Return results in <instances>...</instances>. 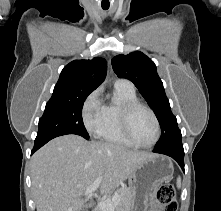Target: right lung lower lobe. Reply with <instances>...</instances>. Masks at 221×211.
I'll use <instances>...</instances> for the list:
<instances>
[{
  "label": "right lung lower lobe",
  "instance_id": "right-lung-lower-lobe-1",
  "mask_svg": "<svg viewBox=\"0 0 221 211\" xmlns=\"http://www.w3.org/2000/svg\"><path fill=\"white\" fill-rule=\"evenodd\" d=\"M51 139H53V138H46L43 140L35 141L34 148L31 152V154H33L36 150H38L40 147H42L44 144H46Z\"/></svg>",
  "mask_w": 221,
  "mask_h": 211
}]
</instances>
